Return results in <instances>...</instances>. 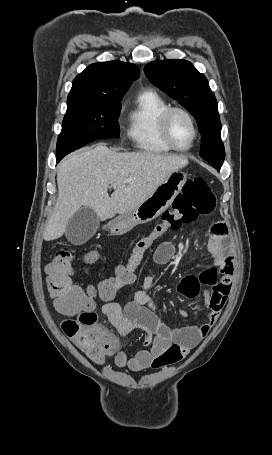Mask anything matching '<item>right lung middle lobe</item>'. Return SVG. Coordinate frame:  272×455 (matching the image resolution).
I'll list each match as a JSON object with an SVG mask.
<instances>
[{
    "label": "right lung middle lobe",
    "instance_id": "obj_1",
    "mask_svg": "<svg viewBox=\"0 0 272 455\" xmlns=\"http://www.w3.org/2000/svg\"><path fill=\"white\" fill-rule=\"evenodd\" d=\"M121 103L110 105H67L57 141V156H65L101 138H118Z\"/></svg>",
    "mask_w": 272,
    "mask_h": 455
}]
</instances>
